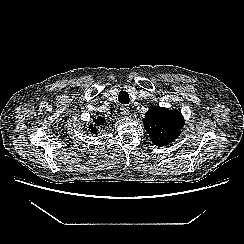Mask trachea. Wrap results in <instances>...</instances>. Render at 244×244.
<instances>
[{"mask_svg":"<svg viewBox=\"0 0 244 244\" xmlns=\"http://www.w3.org/2000/svg\"><path fill=\"white\" fill-rule=\"evenodd\" d=\"M118 101L121 104H129V94L126 91H120L119 95H118Z\"/></svg>","mask_w":244,"mask_h":244,"instance_id":"obj_1","label":"trachea"}]
</instances>
